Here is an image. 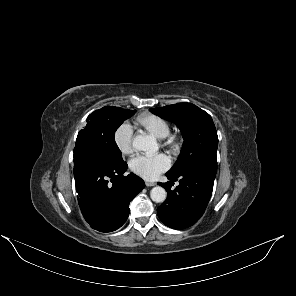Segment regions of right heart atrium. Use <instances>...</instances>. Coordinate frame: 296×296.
Wrapping results in <instances>:
<instances>
[{
	"instance_id": "right-heart-atrium-1",
	"label": "right heart atrium",
	"mask_w": 296,
	"mask_h": 296,
	"mask_svg": "<svg viewBox=\"0 0 296 296\" xmlns=\"http://www.w3.org/2000/svg\"><path fill=\"white\" fill-rule=\"evenodd\" d=\"M133 129L128 123L121 124L114 132L113 140L116 148L124 155H130L134 151Z\"/></svg>"
}]
</instances>
